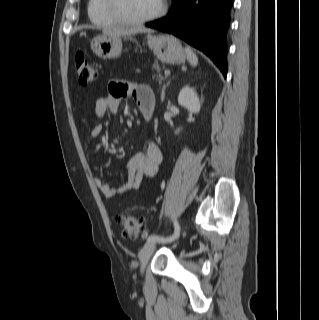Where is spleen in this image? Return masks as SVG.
Segmentation results:
<instances>
[{"mask_svg":"<svg viewBox=\"0 0 319 320\" xmlns=\"http://www.w3.org/2000/svg\"><path fill=\"white\" fill-rule=\"evenodd\" d=\"M187 60L189 61L190 65L197 66L198 64V57L196 54L190 49L189 47L185 48Z\"/></svg>","mask_w":319,"mask_h":320,"instance_id":"1","label":"spleen"}]
</instances>
